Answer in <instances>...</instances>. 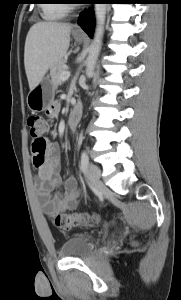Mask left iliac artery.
I'll list each match as a JSON object with an SVG mask.
<instances>
[{"mask_svg":"<svg viewBox=\"0 0 181 300\" xmlns=\"http://www.w3.org/2000/svg\"><path fill=\"white\" fill-rule=\"evenodd\" d=\"M89 158L85 151L81 154V171L84 172L88 166Z\"/></svg>","mask_w":181,"mask_h":300,"instance_id":"obj_1","label":"left iliac artery"}]
</instances>
